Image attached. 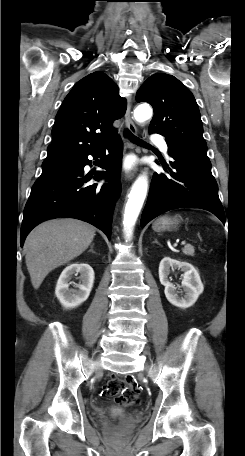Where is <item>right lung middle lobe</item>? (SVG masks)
<instances>
[{
  "instance_id": "dd1d6c3e",
  "label": "right lung middle lobe",
  "mask_w": 245,
  "mask_h": 456,
  "mask_svg": "<svg viewBox=\"0 0 245 456\" xmlns=\"http://www.w3.org/2000/svg\"><path fill=\"white\" fill-rule=\"evenodd\" d=\"M63 167H65V166H63ZM63 167H59V168H55V169H49V170H42V172L53 171V170H57V169H60V168H63Z\"/></svg>"
}]
</instances>
